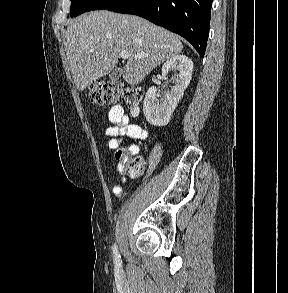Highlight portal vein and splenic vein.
I'll return each mask as SVG.
<instances>
[{"label":"portal vein and splenic vein","mask_w":288,"mask_h":293,"mask_svg":"<svg viewBox=\"0 0 288 293\" xmlns=\"http://www.w3.org/2000/svg\"><path fill=\"white\" fill-rule=\"evenodd\" d=\"M148 55L146 54H143V55H139V56H136L135 58H145L147 57ZM120 57L122 59H129L130 58V53L128 51H121L120 52Z\"/></svg>","instance_id":"portal-vein-and-splenic-vein-1"}]
</instances>
